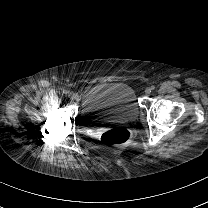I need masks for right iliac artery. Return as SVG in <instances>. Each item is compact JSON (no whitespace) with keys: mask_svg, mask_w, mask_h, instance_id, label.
<instances>
[{"mask_svg":"<svg viewBox=\"0 0 208 208\" xmlns=\"http://www.w3.org/2000/svg\"><path fill=\"white\" fill-rule=\"evenodd\" d=\"M69 92L67 90H63V94L67 95Z\"/></svg>","mask_w":208,"mask_h":208,"instance_id":"82829eb1","label":"right iliac artery"}]
</instances>
